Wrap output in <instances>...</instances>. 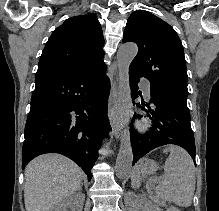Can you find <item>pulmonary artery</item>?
<instances>
[{"instance_id": "pulmonary-artery-1", "label": "pulmonary artery", "mask_w": 219, "mask_h": 211, "mask_svg": "<svg viewBox=\"0 0 219 211\" xmlns=\"http://www.w3.org/2000/svg\"><path fill=\"white\" fill-rule=\"evenodd\" d=\"M143 91H144V93H145V95H146L147 97L150 96V87H149L148 84H144V85H143Z\"/></svg>"}]
</instances>
